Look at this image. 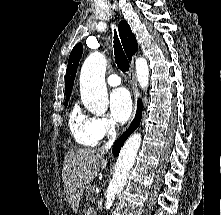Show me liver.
Segmentation results:
<instances>
[{
    "label": "liver",
    "instance_id": "1",
    "mask_svg": "<svg viewBox=\"0 0 221 215\" xmlns=\"http://www.w3.org/2000/svg\"><path fill=\"white\" fill-rule=\"evenodd\" d=\"M104 152L100 149L75 148L70 149L64 158L62 177L67 200L77 212L85 188L98 175L100 168L107 166Z\"/></svg>",
    "mask_w": 221,
    "mask_h": 215
}]
</instances>
